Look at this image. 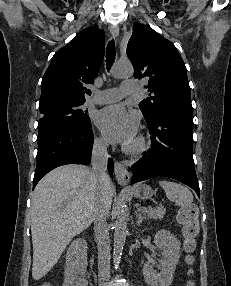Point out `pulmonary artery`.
I'll use <instances>...</instances> for the list:
<instances>
[{"instance_id": "1", "label": "pulmonary artery", "mask_w": 231, "mask_h": 286, "mask_svg": "<svg viewBox=\"0 0 231 286\" xmlns=\"http://www.w3.org/2000/svg\"><path fill=\"white\" fill-rule=\"evenodd\" d=\"M138 91V82L136 80H124L120 87L108 88L95 91L91 102L94 104L113 103L125 95L135 94Z\"/></svg>"}]
</instances>
